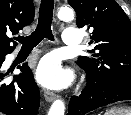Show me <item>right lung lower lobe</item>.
Returning <instances> with one entry per match:
<instances>
[{
  "label": "right lung lower lobe",
  "mask_w": 131,
  "mask_h": 115,
  "mask_svg": "<svg viewBox=\"0 0 131 115\" xmlns=\"http://www.w3.org/2000/svg\"><path fill=\"white\" fill-rule=\"evenodd\" d=\"M5 58L0 59V67ZM23 72L10 84L2 83L5 75L0 73V111L7 115H36L40 93L27 64L19 67Z\"/></svg>",
  "instance_id": "obj_1"
}]
</instances>
